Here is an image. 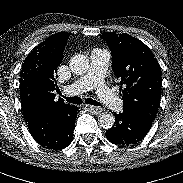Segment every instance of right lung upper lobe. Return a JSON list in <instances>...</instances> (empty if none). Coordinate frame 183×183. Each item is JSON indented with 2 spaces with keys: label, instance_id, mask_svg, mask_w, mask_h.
Masks as SVG:
<instances>
[{
  "label": "right lung upper lobe",
  "instance_id": "1",
  "mask_svg": "<svg viewBox=\"0 0 183 183\" xmlns=\"http://www.w3.org/2000/svg\"><path fill=\"white\" fill-rule=\"evenodd\" d=\"M69 34L56 33L36 46L26 57L20 71V98L26 121L40 112H66L72 107L62 98L56 99L57 66L63 59V51Z\"/></svg>",
  "mask_w": 183,
  "mask_h": 183
}]
</instances>
